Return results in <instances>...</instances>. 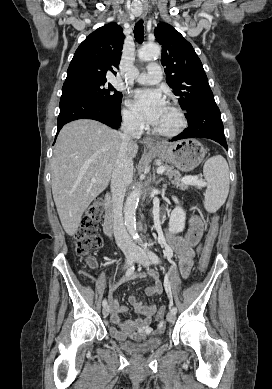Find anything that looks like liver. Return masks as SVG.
<instances>
[{"mask_svg":"<svg viewBox=\"0 0 272 389\" xmlns=\"http://www.w3.org/2000/svg\"><path fill=\"white\" fill-rule=\"evenodd\" d=\"M120 134L90 119L73 121L61 129L51 160V183L57 212L68 235L77 233L85 210L108 187ZM137 153L138 145L130 141L129 156L134 158Z\"/></svg>","mask_w":272,"mask_h":389,"instance_id":"obj_1","label":"liver"}]
</instances>
